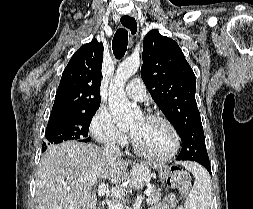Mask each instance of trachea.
Masks as SVG:
<instances>
[{"label": "trachea", "mask_w": 253, "mask_h": 209, "mask_svg": "<svg viewBox=\"0 0 253 209\" xmlns=\"http://www.w3.org/2000/svg\"><path fill=\"white\" fill-rule=\"evenodd\" d=\"M126 27L130 28L132 32V26L127 25ZM127 44H128V32L127 30L120 28L116 31L113 41H112V49L115 57L117 59H120L124 56L126 50H127Z\"/></svg>", "instance_id": "3493384b"}]
</instances>
